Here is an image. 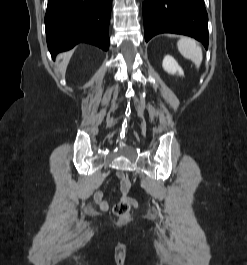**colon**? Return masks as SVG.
I'll use <instances>...</instances> for the list:
<instances>
[{
  "instance_id": "5ec220e1",
  "label": "colon",
  "mask_w": 247,
  "mask_h": 265,
  "mask_svg": "<svg viewBox=\"0 0 247 265\" xmlns=\"http://www.w3.org/2000/svg\"><path fill=\"white\" fill-rule=\"evenodd\" d=\"M118 177L120 179L122 191H128L131 186V183L128 177L122 173L118 174ZM130 208H131V204L128 201L121 200L114 205L113 213L121 221H125L129 217Z\"/></svg>"
}]
</instances>
